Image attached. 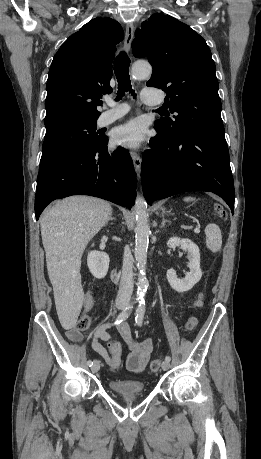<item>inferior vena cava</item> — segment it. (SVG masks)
<instances>
[{
    "instance_id": "obj_1",
    "label": "inferior vena cava",
    "mask_w": 261,
    "mask_h": 459,
    "mask_svg": "<svg viewBox=\"0 0 261 459\" xmlns=\"http://www.w3.org/2000/svg\"><path fill=\"white\" fill-rule=\"evenodd\" d=\"M133 257L128 247L124 249L120 287L116 299L117 304H126L130 301L133 291Z\"/></svg>"
}]
</instances>
